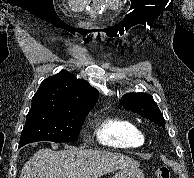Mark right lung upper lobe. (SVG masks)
<instances>
[{"label":"right lung upper lobe","mask_w":194,"mask_h":178,"mask_svg":"<svg viewBox=\"0 0 194 178\" xmlns=\"http://www.w3.org/2000/svg\"><path fill=\"white\" fill-rule=\"evenodd\" d=\"M99 93L84 80L77 79L68 71L45 79L32 98V102H49L71 111H90Z\"/></svg>","instance_id":"obj_1"}]
</instances>
